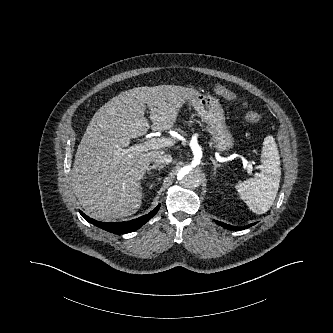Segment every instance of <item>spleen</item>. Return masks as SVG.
<instances>
[{"label": "spleen", "instance_id": "3e777b00", "mask_svg": "<svg viewBox=\"0 0 333 333\" xmlns=\"http://www.w3.org/2000/svg\"><path fill=\"white\" fill-rule=\"evenodd\" d=\"M261 163L262 171L258 176L236 184L240 197L250 210L257 214H263L270 209L280 184V156L275 139L271 135L263 142Z\"/></svg>", "mask_w": 333, "mask_h": 333}]
</instances>
